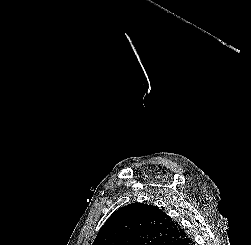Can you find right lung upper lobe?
<instances>
[{
  "label": "right lung upper lobe",
  "mask_w": 251,
  "mask_h": 245,
  "mask_svg": "<svg viewBox=\"0 0 251 245\" xmlns=\"http://www.w3.org/2000/svg\"><path fill=\"white\" fill-rule=\"evenodd\" d=\"M185 235L158 207L132 203L107 219L92 245H172Z\"/></svg>",
  "instance_id": "right-lung-upper-lobe-1"
}]
</instances>
